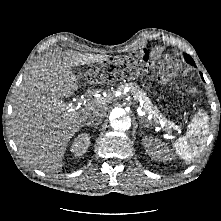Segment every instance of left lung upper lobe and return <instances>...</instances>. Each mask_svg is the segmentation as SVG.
<instances>
[{
  "label": "left lung upper lobe",
  "mask_w": 221,
  "mask_h": 221,
  "mask_svg": "<svg viewBox=\"0 0 221 221\" xmlns=\"http://www.w3.org/2000/svg\"><path fill=\"white\" fill-rule=\"evenodd\" d=\"M184 57H185V60H186L187 63H189L191 65H194V61L191 58V56H189L188 54H185Z\"/></svg>",
  "instance_id": "left-lung-upper-lobe-1"
}]
</instances>
